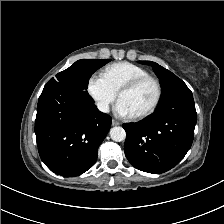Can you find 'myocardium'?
I'll list each match as a JSON object with an SVG mask.
<instances>
[{"mask_svg":"<svg viewBox=\"0 0 224 224\" xmlns=\"http://www.w3.org/2000/svg\"><path fill=\"white\" fill-rule=\"evenodd\" d=\"M145 81H151L154 83V85L156 87V97H155L153 104L147 110H145L144 112H142L140 114L132 116L136 120H141V119L147 118L157 110V108L161 102V99H162V86H161L160 81L151 75L139 76V77H136V78L128 81L127 83H125L117 92V97H118V99H120V97L123 93L135 89L138 85H140L141 83H143Z\"/></svg>","mask_w":224,"mask_h":224,"instance_id":"myocardium-1","label":"myocardium"}]
</instances>
